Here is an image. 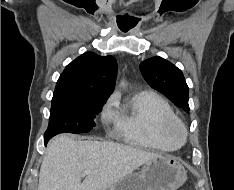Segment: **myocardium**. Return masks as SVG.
I'll use <instances>...</instances> for the list:
<instances>
[{
    "mask_svg": "<svg viewBox=\"0 0 234 190\" xmlns=\"http://www.w3.org/2000/svg\"><path fill=\"white\" fill-rule=\"evenodd\" d=\"M164 133L169 140L177 143L179 146L186 141L188 136L186 126L178 118L166 124Z\"/></svg>",
    "mask_w": 234,
    "mask_h": 190,
    "instance_id": "1",
    "label": "myocardium"
}]
</instances>
